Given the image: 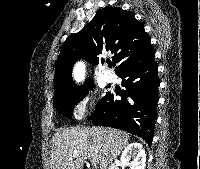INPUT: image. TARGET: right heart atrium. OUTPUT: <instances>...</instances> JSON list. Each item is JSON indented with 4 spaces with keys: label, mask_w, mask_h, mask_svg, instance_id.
<instances>
[{
    "label": "right heart atrium",
    "mask_w": 200,
    "mask_h": 169,
    "mask_svg": "<svg viewBox=\"0 0 200 169\" xmlns=\"http://www.w3.org/2000/svg\"><path fill=\"white\" fill-rule=\"evenodd\" d=\"M95 109V99L92 94L82 93L80 94L72 108V116L76 120H82L90 115Z\"/></svg>",
    "instance_id": "right-heart-atrium-1"
}]
</instances>
